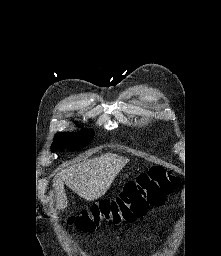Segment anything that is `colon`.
Instances as JSON below:
<instances>
[{"label":"colon","mask_w":221,"mask_h":256,"mask_svg":"<svg viewBox=\"0 0 221 256\" xmlns=\"http://www.w3.org/2000/svg\"><path fill=\"white\" fill-rule=\"evenodd\" d=\"M179 186V179L161 166H153L128 182L113 199L102 200L72 216L67 223L82 232H93L103 221H133L149 207L159 206Z\"/></svg>","instance_id":"colon-1"}]
</instances>
